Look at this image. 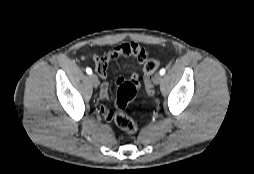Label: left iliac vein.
<instances>
[{"instance_id": "1", "label": "left iliac vein", "mask_w": 254, "mask_h": 174, "mask_svg": "<svg viewBox=\"0 0 254 174\" xmlns=\"http://www.w3.org/2000/svg\"><path fill=\"white\" fill-rule=\"evenodd\" d=\"M162 81V75L160 73H156L153 78V82L155 84H159Z\"/></svg>"}]
</instances>
